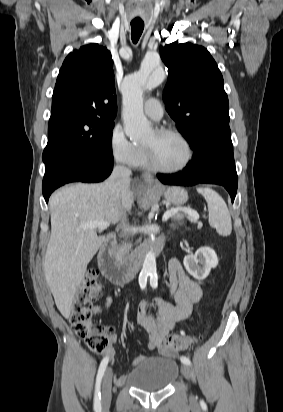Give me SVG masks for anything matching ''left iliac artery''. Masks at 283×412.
Returning a JSON list of instances; mask_svg holds the SVG:
<instances>
[{"instance_id":"obj_1","label":"left iliac artery","mask_w":283,"mask_h":412,"mask_svg":"<svg viewBox=\"0 0 283 412\" xmlns=\"http://www.w3.org/2000/svg\"><path fill=\"white\" fill-rule=\"evenodd\" d=\"M157 281H158L157 275L156 274H151L150 275V284L153 288L157 287V285H158ZM180 360L183 364L191 365L190 359L185 357V356L181 357Z\"/></svg>"}]
</instances>
